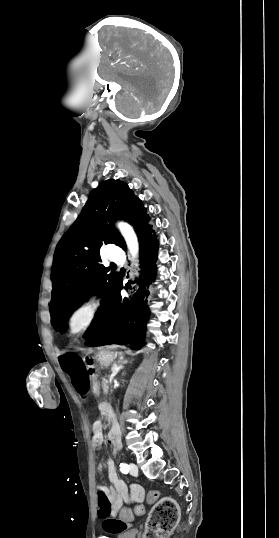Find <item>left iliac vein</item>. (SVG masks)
Returning <instances> with one entry per match:
<instances>
[{
    "mask_svg": "<svg viewBox=\"0 0 279 538\" xmlns=\"http://www.w3.org/2000/svg\"><path fill=\"white\" fill-rule=\"evenodd\" d=\"M129 466H130V470H129L130 474L133 475V476L137 475V474H138V467H137V465L134 464V463H130Z\"/></svg>",
    "mask_w": 279,
    "mask_h": 538,
    "instance_id": "obj_1",
    "label": "left iliac vein"
}]
</instances>
